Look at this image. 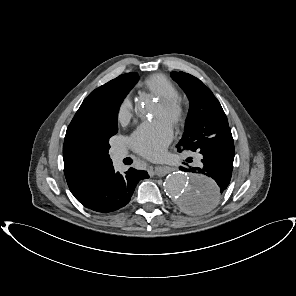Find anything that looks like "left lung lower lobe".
Wrapping results in <instances>:
<instances>
[{"mask_svg":"<svg viewBox=\"0 0 296 296\" xmlns=\"http://www.w3.org/2000/svg\"><path fill=\"white\" fill-rule=\"evenodd\" d=\"M208 142L207 150L201 153V167H180L182 171L195 173L194 177L205 176L217 183L215 192L203 195L200 199H193L187 207V210L192 212H201L215 204L226 191L232 176L235 148L230 128L221 131Z\"/></svg>","mask_w":296,"mask_h":296,"instance_id":"1","label":"left lung lower lobe"}]
</instances>
